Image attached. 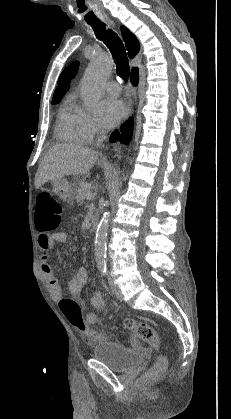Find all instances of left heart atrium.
Returning a JSON list of instances; mask_svg holds the SVG:
<instances>
[{
  "label": "left heart atrium",
  "instance_id": "39dd6f15",
  "mask_svg": "<svg viewBox=\"0 0 231 419\" xmlns=\"http://www.w3.org/2000/svg\"><path fill=\"white\" fill-rule=\"evenodd\" d=\"M125 114L124 103L118 98H108L102 104V124L105 128L117 125Z\"/></svg>",
  "mask_w": 231,
  "mask_h": 419
}]
</instances>
